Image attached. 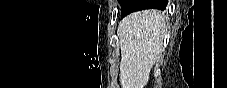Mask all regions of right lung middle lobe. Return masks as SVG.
<instances>
[{
  "mask_svg": "<svg viewBox=\"0 0 227 88\" xmlns=\"http://www.w3.org/2000/svg\"><path fill=\"white\" fill-rule=\"evenodd\" d=\"M121 5V12L127 7L132 0H118Z\"/></svg>",
  "mask_w": 227,
  "mask_h": 88,
  "instance_id": "1",
  "label": "right lung middle lobe"
}]
</instances>
